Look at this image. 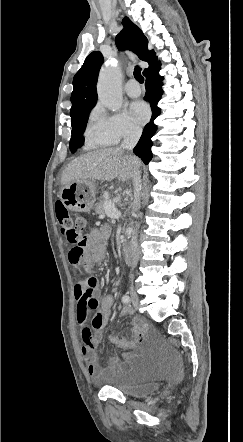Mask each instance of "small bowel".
Returning <instances> with one entry per match:
<instances>
[{
    "mask_svg": "<svg viewBox=\"0 0 243 442\" xmlns=\"http://www.w3.org/2000/svg\"><path fill=\"white\" fill-rule=\"evenodd\" d=\"M108 235L107 226L91 229L85 235L84 259L76 265L69 261L71 266L75 269L83 267L91 270L95 264L103 263L108 256L106 247ZM74 296L76 320L82 342L80 353L85 360L88 375L95 383H100L114 373L120 362L119 357L112 356L108 359L107 365L103 366L99 354L95 351L103 339V328L111 316L114 298L112 295L101 296L99 280L95 276H88L85 281L78 282L74 286ZM121 312L127 314L130 308L124 306ZM131 326L133 339L113 335L110 341L124 350H131L136 344H142L146 340L145 324L139 320H132Z\"/></svg>",
    "mask_w": 243,
    "mask_h": 442,
    "instance_id": "c3829d8e",
    "label": "small bowel"
}]
</instances>
